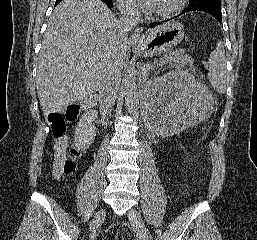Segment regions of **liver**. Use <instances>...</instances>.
Listing matches in <instances>:
<instances>
[{"label":"liver","mask_w":257,"mask_h":240,"mask_svg":"<svg viewBox=\"0 0 257 240\" xmlns=\"http://www.w3.org/2000/svg\"><path fill=\"white\" fill-rule=\"evenodd\" d=\"M117 19L100 0H63L54 9L42 41L36 88L44 115L61 113L99 89L130 49L119 41Z\"/></svg>","instance_id":"obj_1"}]
</instances>
